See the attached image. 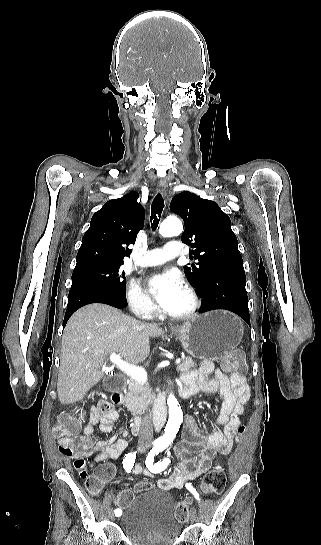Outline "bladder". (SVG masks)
Returning a JSON list of instances; mask_svg holds the SVG:
<instances>
[{
    "instance_id": "obj_1",
    "label": "bladder",
    "mask_w": 321,
    "mask_h": 545,
    "mask_svg": "<svg viewBox=\"0 0 321 545\" xmlns=\"http://www.w3.org/2000/svg\"><path fill=\"white\" fill-rule=\"evenodd\" d=\"M118 521L132 545H175L181 535L172 498L164 489L149 488L137 493L121 511Z\"/></svg>"
}]
</instances>
